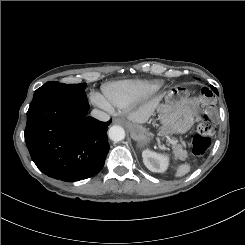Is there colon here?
<instances>
[{"label": "colon", "instance_id": "1", "mask_svg": "<svg viewBox=\"0 0 245 245\" xmlns=\"http://www.w3.org/2000/svg\"><path fill=\"white\" fill-rule=\"evenodd\" d=\"M215 127L207 114H204L198 126V131L192 139V153L197 157L206 154L210 146V136L214 133Z\"/></svg>", "mask_w": 245, "mask_h": 245}]
</instances>
